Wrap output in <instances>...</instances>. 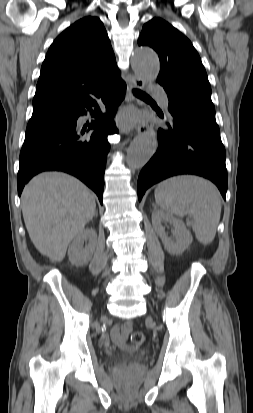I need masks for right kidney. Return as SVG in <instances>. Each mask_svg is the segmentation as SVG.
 <instances>
[{
  "label": "right kidney",
  "instance_id": "right-kidney-1",
  "mask_svg": "<svg viewBox=\"0 0 253 413\" xmlns=\"http://www.w3.org/2000/svg\"><path fill=\"white\" fill-rule=\"evenodd\" d=\"M88 242L85 245L84 243ZM97 234L93 228L83 229L74 238L68 249V258L72 265L83 266L88 264L95 251Z\"/></svg>",
  "mask_w": 253,
  "mask_h": 413
}]
</instances>
